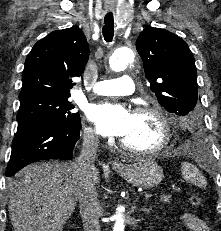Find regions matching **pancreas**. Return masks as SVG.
I'll use <instances>...</instances> for the list:
<instances>
[{"mask_svg":"<svg viewBox=\"0 0 221 231\" xmlns=\"http://www.w3.org/2000/svg\"><path fill=\"white\" fill-rule=\"evenodd\" d=\"M161 202L163 203H170L171 201V196L169 195H163V196H160V199H159Z\"/></svg>","mask_w":221,"mask_h":231,"instance_id":"cf45deb5","label":"pancreas"}]
</instances>
